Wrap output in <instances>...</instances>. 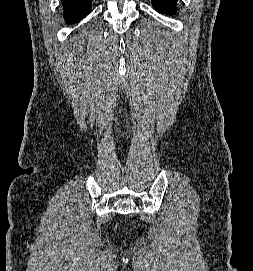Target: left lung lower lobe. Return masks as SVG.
<instances>
[{
	"mask_svg": "<svg viewBox=\"0 0 253 271\" xmlns=\"http://www.w3.org/2000/svg\"><path fill=\"white\" fill-rule=\"evenodd\" d=\"M176 3L177 0H152L154 9L166 14H174L176 12Z\"/></svg>",
	"mask_w": 253,
	"mask_h": 271,
	"instance_id": "obj_1",
	"label": "left lung lower lobe"
}]
</instances>
